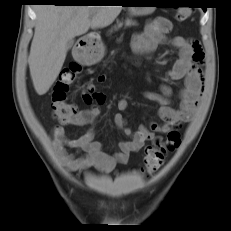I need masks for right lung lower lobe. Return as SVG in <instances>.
Here are the masks:
<instances>
[{"instance_id": "98d812e1", "label": "right lung lower lobe", "mask_w": 231, "mask_h": 231, "mask_svg": "<svg viewBox=\"0 0 231 231\" xmlns=\"http://www.w3.org/2000/svg\"><path fill=\"white\" fill-rule=\"evenodd\" d=\"M35 3H54L55 5H76L72 0H32Z\"/></svg>"}]
</instances>
